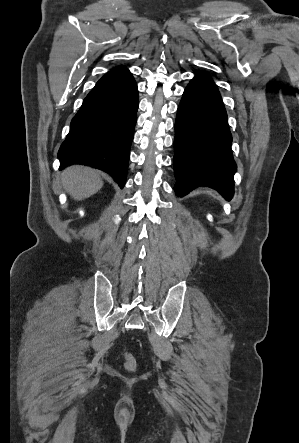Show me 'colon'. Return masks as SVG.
Returning <instances> with one entry per match:
<instances>
[{"instance_id":"colon-1","label":"colon","mask_w":299,"mask_h":443,"mask_svg":"<svg viewBox=\"0 0 299 443\" xmlns=\"http://www.w3.org/2000/svg\"><path fill=\"white\" fill-rule=\"evenodd\" d=\"M125 367L129 371H134L136 368V362L134 358L130 355H126L125 357Z\"/></svg>"}]
</instances>
